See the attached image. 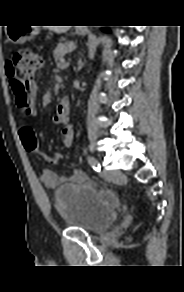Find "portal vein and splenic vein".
Listing matches in <instances>:
<instances>
[{
	"mask_svg": "<svg viewBox=\"0 0 184 292\" xmlns=\"http://www.w3.org/2000/svg\"><path fill=\"white\" fill-rule=\"evenodd\" d=\"M57 66H58V68L63 69V68H67L69 66V63L66 62L65 60H61L60 63H58Z\"/></svg>",
	"mask_w": 184,
	"mask_h": 292,
	"instance_id": "18ae733b",
	"label": "portal vein and splenic vein"
}]
</instances>
